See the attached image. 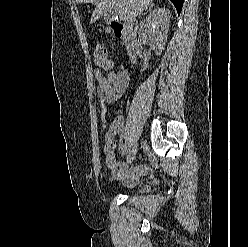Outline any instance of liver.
<instances>
[{"label":"liver","instance_id":"6515ba94","mask_svg":"<svg viewBox=\"0 0 248 247\" xmlns=\"http://www.w3.org/2000/svg\"><path fill=\"white\" fill-rule=\"evenodd\" d=\"M75 2L94 4L91 22H95L109 10L118 13L123 20L133 19L148 9L153 0H75Z\"/></svg>","mask_w":248,"mask_h":247}]
</instances>
